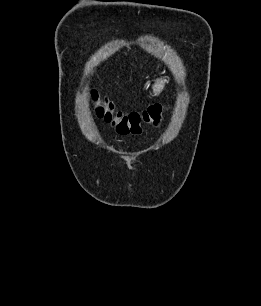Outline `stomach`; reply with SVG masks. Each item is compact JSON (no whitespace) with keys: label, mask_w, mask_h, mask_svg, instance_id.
I'll list each match as a JSON object with an SVG mask.
<instances>
[{"label":"stomach","mask_w":261,"mask_h":306,"mask_svg":"<svg viewBox=\"0 0 261 306\" xmlns=\"http://www.w3.org/2000/svg\"><path fill=\"white\" fill-rule=\"evenodd\" d=\"M166 80L163 78H158L153 86L154 95H158L164 89Z\"/></svg>","instance_id":"stomach-1"}]
</instances>
